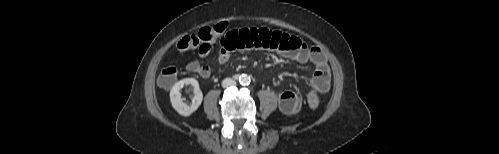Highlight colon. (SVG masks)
Wrapping results in <instances>:
<instances>
[{
    "label": "colon",
    "mask_w": 499,
    "mask_h": 154,
    "mask_svg": "<svg viewBox=\"0 0 499 154\" xmlns=\"http://www.w3.org/2000/svg\"><path fill=\"white\" fill-rule=\"evenodd\" d=\"M228 24L220 22L216 25L202 27L195 33L185 35L177 42V48L180 51H188L199 47L202 43L212 42L217 37L224 34ZM177 69L173 66L165 67L159 77L158 83L161 87L169 89L177 80ZM320 99L318 94L309 92L307 95V104L310 109L315 110L318 108Z\"/></svg>",
    "instance_id": "obj_1"
}]
</instances>
